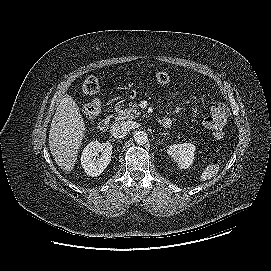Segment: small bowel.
<instances>
[{
	"mask_svg": "<svg viewBox=\"0 0 271 271\" xmlns=\"http://www.w3.org/2000/svg\"><path fill=\"white\" fill-rule=\"evenodd\" d=\"M229 117V109L222 103H213L208 115L203 120L204 127L221 130Z\"/></svg>",
	"mask_w": 271,
	"mask_h": 271,
	"instance_id": "c3829d8e",
	"label": "small bowel"
}]
</instances>
